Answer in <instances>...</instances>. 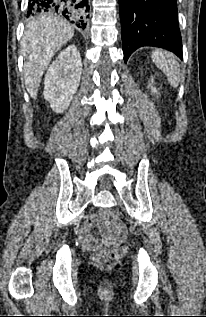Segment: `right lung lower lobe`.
Returning a JSON list of instances; mask_svg holds the SVG:
<instances>
[{"mask_svg": "<svg viewBox=\"0 0 206 317\" xmlns=\"http://www.w3.org/2000/svg\"><path fill=\"white\" fill-rule=\"evenodd\" d=\"M88 10V0H29L27 15L54 12L84 30V17Z\"/></svg>", "mask_w": 206, "mask_h": 317, "instance_id": "right-lung-lower-lobe-1", "label": "right lung lower lobe"}]
</instances>
